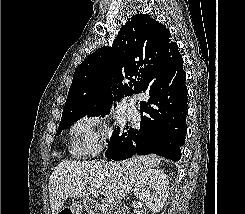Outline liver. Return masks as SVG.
<instances>
[{
  "label": "liver",
  "instance_id": "obj_1",
  "mask_svg": "<svg viewBox=\"0 0 245 214\" xmlns=\"http://www.w3.org/2000/svg\"><path fill=\"white\" fill-rule=\"evenodd\" d=\"M160 159L135 156L126 161L60 162L49 178V197L52 214H58L68 198L89 197L88 186L100 194L121 200L127 196L140 176L157 167Z\"/></svg>",
  "mask_w": 245,
  "mask_h": 214
}]
</instances>
